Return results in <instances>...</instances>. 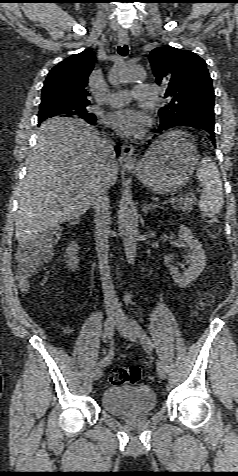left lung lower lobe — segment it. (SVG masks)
I'll return each mask as SVG.
<instances>
[{
	"label": "left lung lower lobe",
	"instance_id": "0a47b994",
	"mask_svg": "<svg viewBox=\"0 0 238 476\" xmlns=\"http://www.w3.org/2000/svg\"><path fill=\"white\" fill-rule=\"evenodd\" d=\"M189 126L194 128H201L206 130L210 136L209 139L212 141V144L215 146V133H214V120H211L207 117L191 118L177 122H168L160 123L159 128L156 132L167 130L175 126Z\"/></svg>",
	"mask_w": 238,
	"mask_h": 476
}]
</instances>
